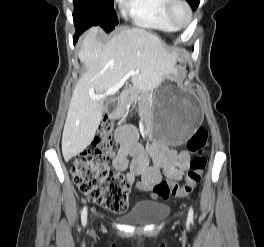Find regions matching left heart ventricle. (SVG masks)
<instances>
[{
  "label": "left heart ventricle",
  "instance_id": "obj_1",
  "mask_svg": "<svg viewBox=\"0 0 264 247\" xmlns=\"http://www.w3.org/2000/svg\"><path fill=\"white\" fill-rule=\"evenodd\" d=\"M177 18L181 23L187 22L188 17L186 11L182 7H180L177 11Z\"/></svg>",
  "mask_w": 264,
  "mask_h": 247
}]
</instances>
